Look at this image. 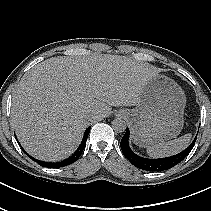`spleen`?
Listing matches in <instances>:
<instances>
[{"label": "spleen", "instance_id": "1", "mask_svg": "<svg viewBox=\"0 0 211 211\" xmlns=\"http://www.w3.org/2000/svg\"><path fill=\"white\" fill-rule=\"evenodd\" d=\"M191 134H185L178 139L168 142H161L147 147V153L150 157H165L174 155L184 150L191 141Z\"/></svg>", "mask_w": 211, "mask_h": 211}]
</instances>
